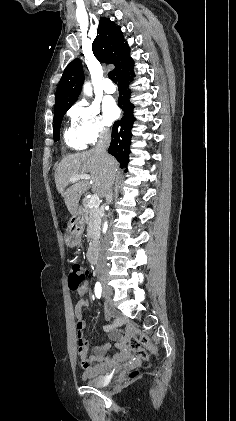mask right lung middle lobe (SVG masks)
I'll return each mask as SVG.
<instances>
[{"instance_id":"right-lung-middle-lobe-1","label":"right lung middle lobe","mask_w":236,"mask_h":421,"mask_svg":"<svg viewBox=\"0 0 236 421\" xmlns=\"http://www.w3.org/2000/svg\"><path fill=\"white\" fill-rule=\"evenodd\" d=\"M71 106H66V107H62V108H58L54 110V125H53V130H54V141H58L60 138V126H61V122L63 119L64 114L67 112V110L70 108Z\"/></svg>"}]
</instances>
